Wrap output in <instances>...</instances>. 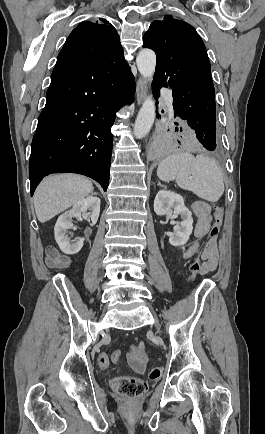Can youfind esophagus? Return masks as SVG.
<instances>
[{
  "mask_svg": "<svg viewBox=\"0 0 265 434\" xmlns=\"http://www.w3.org/2000/svg\"><path fill=\"white\" fill-rule=\"evenodd\" d=\"M137 103L138 105H141V103L143 102L145 96H146V92H147V87H146V83L144 80L139 79L137 81Z\"/></svg>",
  "mask_w": 265,
  "mask_h": 434,
  "instance_id": "esophagus-1",
  "label": "esophagus"
}]
</instances>
